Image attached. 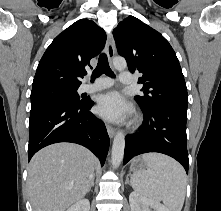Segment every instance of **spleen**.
<instances>
[{
  "instance_id": "3e777b00",
  "label": "spleen",
  "mask_w": 221,
  "mask_h": 211,
  "mask_svg": "<svg viewBox=\"0 0 221 211\" xmlns=\"http://www.w3.org/2000/svg\"><path fill=\"white\" fill-rule=\"evenodd\" d=\"M148 169L131 176V186L139 194L163 201L169 211H181L186 194V173L174 159L159 153L142 156Z\"/></svg>"
}]
</instances>
